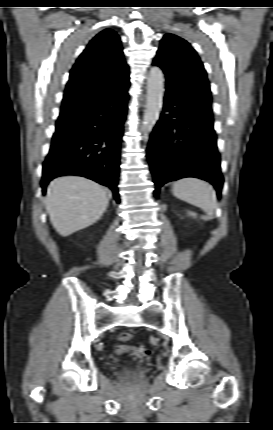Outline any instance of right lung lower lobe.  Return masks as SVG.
I'll return each instance as SVG.
<instances>
[{
    "label": "right lung lower lobe",
    "mask_w": 273,
    "mask_h": 430,
    "mask_svg": "<svg viewBox=\"0 0 273 430\" xmlns=\"http://www.w3.org/2000/svg\"><path fill=\"white\" fill-rule=\"evenodd\" d=\"M129 85L100 88L75 119L56 126L43 164V193L52 179L78 175L110 187L116 202H120L117 191L120 142Z\"/></svg>",
    "instance_id": "right-lung-lower-lobe-1"
}]
</instances>
